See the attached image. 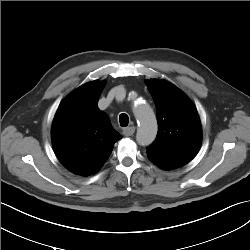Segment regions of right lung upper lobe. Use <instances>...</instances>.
I'll return each instance as SVG.
<instances>
[{"label":"right lung upper lobe","instance_id":"1","mask_svg":"<svg viewBox=\"0 0 250 250\" xmlns=\"http://www.w3.org/2000/svg\"><path fill=\"white\" fill-rule=\"evenodd\" d=\"M104 81H91L74 90L60 104L51 130L59 161L71 172L89 176L97 172L122 136L113 129L97 103Z\"/></svg>","mask_w":250,"mask_h":250}]
</instances>
